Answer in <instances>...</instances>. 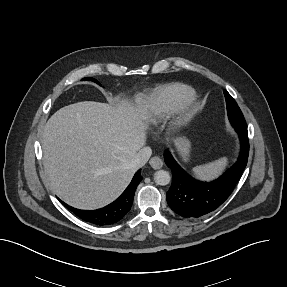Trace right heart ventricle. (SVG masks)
<instances>
[{"mask_svg": "<svg viewBox=\"0 0 287 287\" xmlns=\"http://www.w3.org/2000/svg\"><path fill=\"white\" fill-rule=\"evenodd\" d=\"M189 92L190 88L183 84H167L157 88L151 97L150 121L156 123L164 118L175 104Z\"/></svg>", "mask_w": 287, "mask_h": 287, "instance_id": "right-heart-ventricle-1", "label": "right heart ventricle"}]
</instances>
